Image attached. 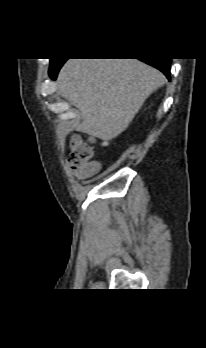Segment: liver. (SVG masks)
Returning <instances> with one entry per match:
<instances>
[{"instance_id":"obj_1","label":"liver","mask_w":206,"mask_h":348,"mask_svg":"<svg viewBox=\"0 0 206 348\" xmlns=\"http://www.w3.org/2000/svg\"><path fill=\"white\" fill-rule=\"evenodd\" d=\"M57 82L61 95L80 112L77 129L111 140L165 84V77L138 59H69Z\"/></svg>"}]
</instances>
